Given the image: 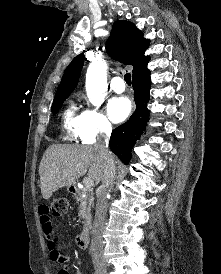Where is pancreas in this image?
Here are the masks:
<instances>
[{
	"instance_id": "1",
	"label": "pancreas",
	"mask_w": 221,
	"mask_h": 274,
	"mask_svg": "<svg viewBox=\"0 0 221 274\" xmlns=\"http://www.w3.org/2000/svg\"><path fill=\"white\" fill-rule=\"evenodd\" d=\"M83 194H85V197H82ZM78 200L80 201L78 215L84 219L90 213L91 204L94 200L93 192L89 188H85L82 192H80Z\"/></svg>"
}]
</instances>
